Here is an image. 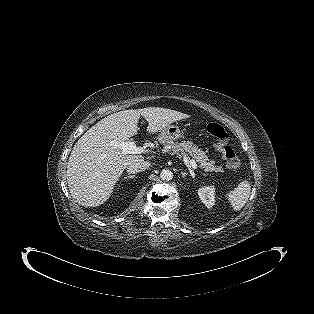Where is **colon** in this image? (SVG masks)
Returning <instances> with one entry per match:
<instances>
[{"mask_svg": "<svg viewBox=\"0 0 314 314\" xmlns=\"http://www.w3.org/2000/svg\"><path fill=\"white\" fill-rule=\"evenodd\" d=\"M207 133L214 139L216 149L221 153L227 165L232 169H238L241 165L236 150L229 144V134L218 123H209Z\"/></svg>", "mask_w": 314, "mask_h": 314, "instance_id": "1", "label": "colon"}]
</instances>
